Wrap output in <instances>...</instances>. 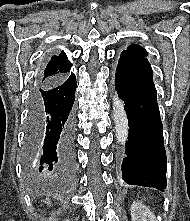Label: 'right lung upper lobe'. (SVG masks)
I'll return each mask as SVG.
<instances>
[{
    "label": "right lung upper lobe",
    "instance_id": "right-lung-upper-lobe-1",
    "mask_svg": "<svg viewBox=\"0 0 190 221\" xmlns=\"http://www.w3.org/2000/svg\"><path fill=\"white\" fill-rule=\"evenodd\" d=\"M71 67L72 64L67 59L65 52L62 51L58 56H52L46 68L39 73L38 81L45 83L64 79L70 74Z\"/></svg>",
    "mask_w": 190,
    "mask_h": 221
}]
</instances>
